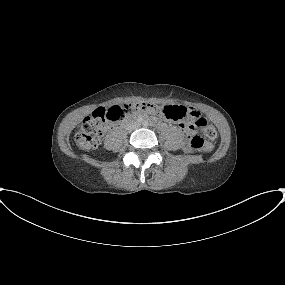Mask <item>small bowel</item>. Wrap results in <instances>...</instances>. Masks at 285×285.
I'll list each match as a JSON object with an SVG mask.
<instances>
[{
  "mask_svg": "<svg viewBox=\"0 0 285 285\" xmlns=\"http://www.w3.org/2000/svg\"><path fill=\"white\" fill-rule=\"evenodd\" d=\"M190 111H191V113H192V116L190 117V122H194L195 123V121L198 119V118H200L201 116H200V114H199V112L196 110V109H194V108H192V107H189L188 108Z\"/></svg>",
  "mask_w": 285,
  "mask_h": 285,
  "instance_id": "small-bowel-1",
  "label": "small bowel"
}]
</instances>
